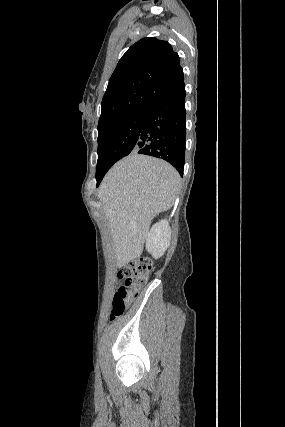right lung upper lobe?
Here are the masks:
<instances>
[{
    "label": "right lung upper lobe",
    "mask_w": 285,
    "mask_h": 427,
    "mask_svg": "<svg viewBox=\"0 0 285 427\" xmlns=\"http://www.w3.org/2000/svg\"><path fill=\"white\" fill-rule=\"evenodd\" d=\"M183 84L180 58L171 45L156 38H143L118 62L102 99L98 126L145 109Z\"/></svg>",
    "instance_id": "1"
}]
</instances>
